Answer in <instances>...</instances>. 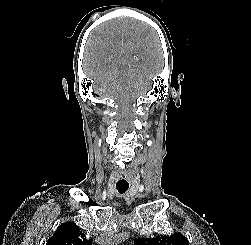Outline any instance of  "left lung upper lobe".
Here are the masks:
<instances>
[{
	"label": "left lung upper lobe",
	"instance_id": "obj_1",
	"mask_svg": "<svg viewBox=\"0 0 251 245\" xmlns=\"http://www.w3.org/2000/svg\"><path fill=\"white\" fill-rule=\"evenodd\" d=\"M135 245H189L185 236L175 232L171 236L161 235L154 238H138Z\"/></svg>",
	"mask_w": 251,
	"mask_h": 245
}]
</instances>
